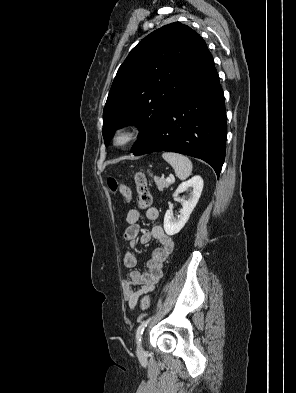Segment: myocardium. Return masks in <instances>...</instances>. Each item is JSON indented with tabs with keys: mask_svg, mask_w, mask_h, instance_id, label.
Wrapping results in <instances>:
<instances>
[{
	"mask_svg": "<svg viewBox=\"0 0 296 393\" xmlns=\"http://www.w3.org/2000/svg\"><path fill=\"white\" fill-rule=\"evenodd\" d=\"M143 133L139 123H126L117 128L112 135V144L117 148H124L136 141Z\"/></svg>",
	"mask_w": 296,
	"mask_h": 393,
	"instance_id": "obj_1",
	"label": "myocardium"
}]
</instances>
